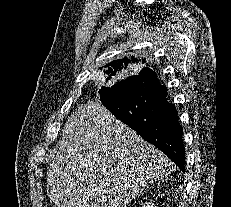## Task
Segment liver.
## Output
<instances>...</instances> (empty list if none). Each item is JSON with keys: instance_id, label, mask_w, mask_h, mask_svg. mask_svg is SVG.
I'll return each mask as SVG.
<instances>
[{"instance_id": "6515ba94", "label": "liver", "mask_w": 231, "mask_h": 207, "mask_svg": "<svg viewBox=\"0 0 231 207\" xmlns=\"http://www.w3.org/2000/svg\"><path fill=\"white\" fill-rule=\"evenodd\" d=\"M54 153L47 195L57 207H126L171 170L162 152L100 102L68 118Z\"/></svg>"}]
</instances>
